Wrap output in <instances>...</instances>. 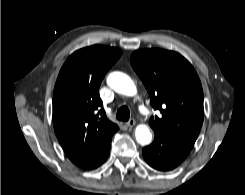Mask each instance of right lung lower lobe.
<instances>
[{
	"instance_id": "right-lung-lower-lobe-1",
	"label": "right lung lower lobe",
	"mask_w": 245,
	"mask_h": 195,
	"mask_svg": "<svg viewBox=\"0 0 245 195\" xmlns=\"http://www.w3.org/2000/svg\"><path fill=\"white\" fill-rule=\"evenodd\" d=\"M110 146H111V142H110V144L107 146V148H106V150H105V152H104L103 162L106 160V158H107L108 155H109V152H110ZM103 162H102V163H103Z\"/></svg>"
}]
</instances>
